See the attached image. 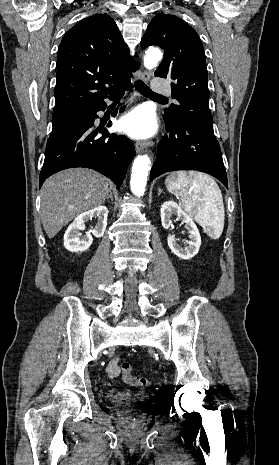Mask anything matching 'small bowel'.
I'll list each match as a JSON object with an SVG mask.
<instances>
[{
    "mask_svg": "<svg viewBox=\"0 0 279 465\" xmlns=\"http://www.w3.org/2000/svg\"><path fill=\"white\" fill-rule=\"evenodd\" d=\"M118 362L119 358L116 357L113 360H111L106 366V373L110 378H114L120 373Z\"/></svg>",
    "mask_w": 279,
    "mask_h": 465,
    "instance_id": "obj_1",
    "label": "small bowel"
}]
</instances>
